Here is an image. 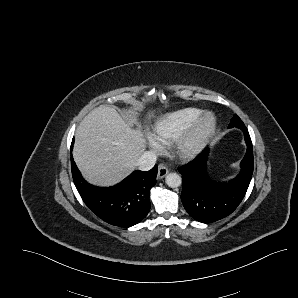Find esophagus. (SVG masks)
Listing matches in <instances>:
<instances>
[{"label":"esophagus","instance_id":"1","mask_svg":"<svg viewBox=\"0 0 298 298\" xmlns=\"http://www.w3.org/2000/svg\"><path fill=\"white\" fill-rule=\"evenodd\" d=\"M168 169L164 164H159L158 165V173H157V177L159 179L164 178L167 174H168Z\"/></svg>","mask_w":298,"mask_h":298}]
</instances>
